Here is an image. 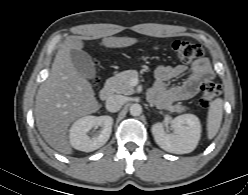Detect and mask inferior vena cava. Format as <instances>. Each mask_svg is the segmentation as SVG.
I'll return each instance as SVG.
<instances>
[{
    "label": "inferior vena cava",
    "instance_id": "obj_1",
    "mask_svg": "<svg viewBox=\"0 0 248 195\" xmlns=\"http://www.w3.org/2000/svg\"><path fill=\"white\" fill-rule=\"evenodd\" d=\"M125 103V99L121 95H112L106 100V109L109 112H117Z\"/></svg>",
    "mask_w": 248,
    "mask_h": 195
}]
</instances>
